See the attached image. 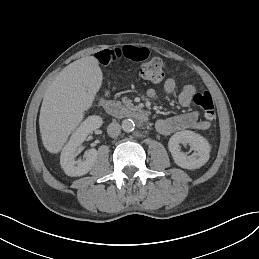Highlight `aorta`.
<instances>
[{"mask_svg": "<svg viewBox=\"0 0 259 259\" xmlns=\"http://www.w3.org/2000/svg\"><path fill=\"white\" fill-rule=\"evenodd\" d=\"M135 128V124L132 119H125L122 122V129L123 131L129 133L132 132Z\"/></svg>", "mask_w": 259, "mask_h": 259, "instance_id": "1", "label": "aorta"}]
</instances>
